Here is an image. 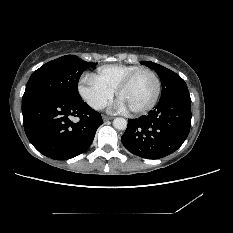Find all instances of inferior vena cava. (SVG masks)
Returning <instances> with one entry per match:
<instances>
[{"mask_svg":"<svg viewBox=\"0 0 233 233\" xmlns=\"http://www.w3.org/2000/svg\"><path fill=\"white\" fill-rule=\"evenodd\" d=\"M104 107H105V104L100 102V103L95 104L94 109L100 110V109H103Z\"/></svg>","mask_w":233,"mask_h":233,"instance_id":"inferior-vena-cava-1","label":"inferior vena cava"}]
</instances>
